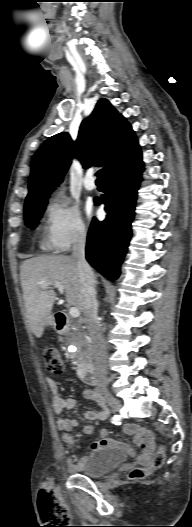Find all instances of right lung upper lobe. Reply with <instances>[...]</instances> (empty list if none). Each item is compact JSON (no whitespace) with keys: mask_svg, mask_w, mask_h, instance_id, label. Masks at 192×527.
I'll return each mask as SVG.
<instances>
[{"mask_svg":"<svg viewBox=\"0 0 192 527\" xmlns=\"http://www.w3.org/2000/svg\"><path fill=\"white\" fill-rule=\"evenodd\" d=\"M137 147V138L126 119L106 99L99 100L82 122L75 143L68 133H59L35 153L25 207L48 199L52 188L63 181L74 156L83 168L100 164L106 174Z\"/></svg>","mask_w":192,"mask_h":527,"instance_id":"obj_1","label":"right lung upper lobe"}]
</instances>
